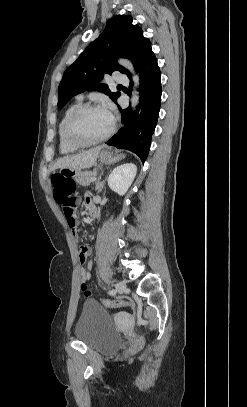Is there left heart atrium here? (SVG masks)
<instances>
[{
	"mask_svg": "<svg viewBox=\"0 0 247 407\" xmlns=\"http://www.w3.org/2000/svg\"><path fill=\"white\" fill-rule=\"evenodd\" d=\"M103 110L106 112V114L108 115L110 120L113 121V115L111 113V105H107Z\"/></svg>",
	"mask_w": 247,
	"mask_h": 407,
	"instance_id": "39dd6f15",
	"label": "left heart atrium"
}]
</instances>
